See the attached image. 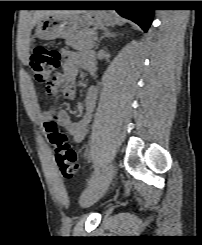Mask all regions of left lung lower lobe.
I'll return each instance as SVG.
<instances>
[{"mask_svg": "<svg viewBox=\"0 0 202 245\" xmlns=\"http://www.w3.org/2000/svg\"><path fill=\"white\" fill-rule=\"evenodd\" d=\"M134 1H117L115 9L122 17L137 23L145 32H147L153 21V10L148 8H129L128 6ZM100 1H85L86 6H95Z\"/></svg>", "mask_w": 202, "mask_h": 245, "instance_id": "left-lung-lower-lobe-1", "label": "left lung lower lobe"}]
</instances>
